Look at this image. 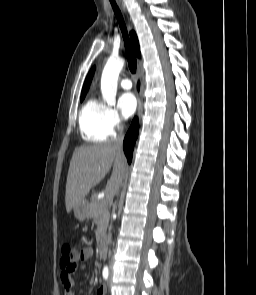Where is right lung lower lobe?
I'll list each match as a JSON object with an SVG mask.
<instances>
[{
  "label": "right lung lower lobe",
  "instance_id": "98d812e1",
  "mask_svg": "<svg viewBox=\"0 0 256 295\" xmlns=\"http://www.w3.org/2000/svg\"><path fill=\"white\" fill-rule=\"evenodd\" d=\"M138 88H139V84H138ZM138 130H139L138 119L134 118L124 138V153L129 163L132 160L133 148L138 136Z\"/></svg>",
  "mask_w": 256,
  "mask_h": 295
}]
</instances>
